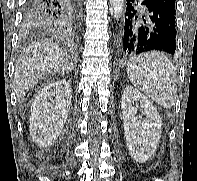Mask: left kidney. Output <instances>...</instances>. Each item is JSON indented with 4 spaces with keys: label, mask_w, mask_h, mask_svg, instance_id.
I'll use <instances>...</instances> for the list:
<instances>
[{
    "label": "left kidney",
    "mask_w": 197,
    "mask_h": 181,
    "mask_svg": "<svg viewBox=\"0 0 197 181\" xmlns=\"http://www.w3.org/2000/svg\"><path fill=\"white\" fill-rule=\"evenodd\" d=\"M140 103L145 118L137 116ZM124 134L131 157L139 163L146 162L156 151L162 121L153 104L132 86L125 88L121 98Z\"/></svg>",
    "instance_id": "5707ae66"
}]
</instances>
